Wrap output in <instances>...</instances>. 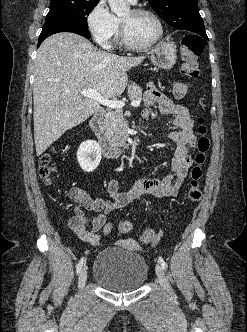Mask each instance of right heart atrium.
<instances>
[{
	"instance_id": "d8ad5b80",
	"label": "right heart atrium",
	"mask_w": 247,
	"mask_h": 332,
	"mask_svg": "<svg viewBox=\"0 0 247 332\" xmlns=\"http://www.w3.org/2000/svg\"><path fill=\"white\" fill-rule=\"evenodd\" d=\"M93 40L102 48L109 49L119 30V20L112 14L105 0H99L86 18Z\"/></svg>"
}]
</instances>
